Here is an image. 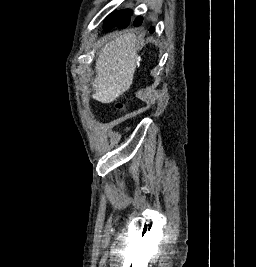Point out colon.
Returning <instances> with one entry per match:
<instances>
[{
	"label": "colon",
	"mask_w": 256,
	"mask_h": 267,
	"mask_svg": "<svg viewBox=\"0 0 256 267\" xmlns=\"http://www.w3.org/2000/svg\"><path fill=\"white\" fill-rule=\"evenodd\" d=\"M118 107H119V108H121V107H122V105H120V104H119V105H118Z\"/></svg>",
	"instance_id": "obj_1"
}]
</instances>
